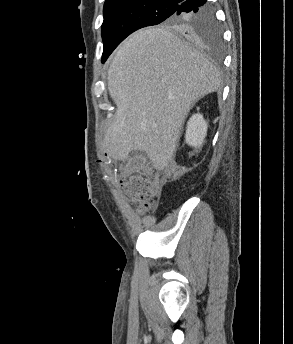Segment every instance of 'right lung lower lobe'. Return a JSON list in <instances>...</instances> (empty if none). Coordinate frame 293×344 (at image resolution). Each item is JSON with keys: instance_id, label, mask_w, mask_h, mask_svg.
Returning <instances> with one entry per match:
<instances>
[{"instance_id": "obj_1", "label": "right lung lower lobe", "mask_w": 293, "mask_h": 344, "mask_svg": "<svg viewBox=\"0 0 293 344\" xmlns=\"http://www.w3.org/2000/svg\"><path fill=\"white\" fill-rule=\"evenodd\" d=\"M209 10L210 6L206 4V0H183L178 4L176 14L207 12Z\"/></svg>"}]
</instances>
